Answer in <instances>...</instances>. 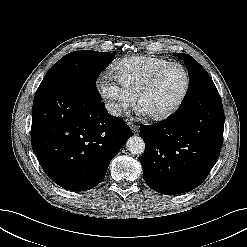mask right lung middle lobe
Instances as JSON below:
<instances>
[{"instance_id":"dd1d6c3e","label":"right lung middle lobe","mask_w":247,"mask_h":247,"mask_svg":"<svg viewBox=\"0 0 247 247\" xmlns=\"http://www.w3.org/2000/svg\"><path fill=\"white\" fill-rule=\"evenodd\" d=\"M114 55L109 52L92 50L73 51L56 62L43 78L47 82L63 76H76L95 82L96 77L112 60Z\"/></svg>"}]
</instances>
